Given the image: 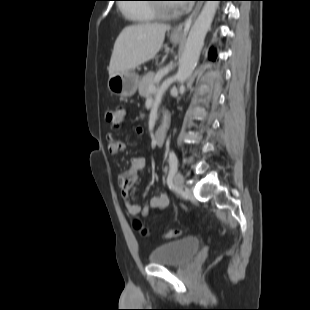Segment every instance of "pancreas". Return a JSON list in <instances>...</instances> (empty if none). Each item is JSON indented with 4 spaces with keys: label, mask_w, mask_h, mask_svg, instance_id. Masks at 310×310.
<instances>
[{
    "label": "pancreas",
    "mask_w": 310,
    "mask_h": 310,
    "mask_svg": "<svg viewBox=\"0 0 310 310\" xmlns=\"http://www.w3.org/2000/svg\"><path fill=\"white\" fill-rule=\"evenodd\" d=\"M155 85V74L149 72L146 74L138 84L139 95L142 97H150L152 93L149 92V87Z\"/></svg>",
    "instance_id": "cf45deb5"
}]
</instances>
